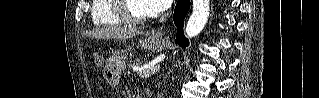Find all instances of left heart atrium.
<instances>
[{
	"label": "left heart atrium",
	"mask_w": 319,
	"mask_h": 98,
	"mask_svg": "<svg viewBox=\"0 0 319 98\" xmlns=\"http://www.w3.org/2000/svg\"><path fill=\"white\" fill-rule=\"evenodd\" d=\"M149 12L160 14L166 11L172 4V0H144Z\"/></svg>",
	"instance_id": "left-heart-atrium-1"
}]
</instances>
